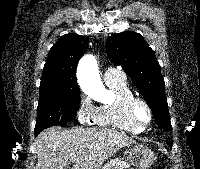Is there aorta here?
Listing matches in <instances>:
<instances>
[{"instance_id": "762f6f07", "label": "aorta", "mask_w": 200, "mask_h": 169, "mask_svg": "<svg viewBox=\"0 0 200 169\" xmlns=\"http://www.w3.org/2000/svg\"><path fill=\"white\" fill-rule=\"evenodd\" d=\"M78 82L82 90L89 96L101 99L106 89L101 81L95 56L85 55L77 68Z\"/></svg>"}]
</instances>
